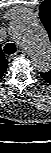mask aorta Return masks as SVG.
Segmentation results:
<instances>
[{"mask_svg":"<svg viewBox=\"0 0 51 153\" xmlns=\"http://www.w3.org/2000/svg\"><path fill=\"white\" fill-rule=\"evenodd\" d=\"M12 38L31 54L33 67L39 72L51 69V44L45 28L26 17H17L9 24Z\"/></svg>","mask_w":51,"mask_h":153,"instance_id":"aorta-1","label":"aorta"}]
</instances>
